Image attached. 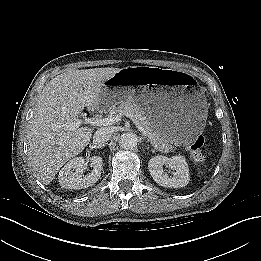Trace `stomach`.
I'll return each instance as SVG.
<instances>
[{
  "instance_id": "0dacf381",
  "label": "stomach",
  "mask_w": 261,
  "mask_h": 261,
  "mask_svg": "<svg viewBox=\"0 0 261 261\" xmlns=\"http://www.w3.org/2000/svg\"><path fill=\"white\" fill-rule=\"evenodd\" d=\"M132 75L143 77L139 88L118 81ZM111 80L115 84L105 86L101 94L103 108L125 102L141 106L155 132L176 145H189L202 132L206 99L192 77L170 69L127 67Z\"/></svg>"
}]
</instances>
